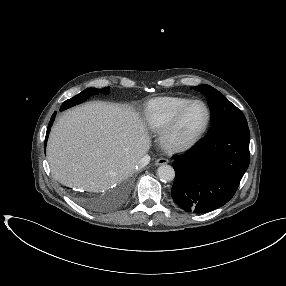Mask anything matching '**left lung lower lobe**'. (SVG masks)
Here are the masks:
<instances>
[{
	"instance_id": "obj_1",
	"label": "left lung lower lobe",
	"mask_w": 286,
	"mask_h": 286,
	"mask_svg": "<svg viewBox=\"0 0 286 286\" xmlns=\"http://www.w3.org/2000/svg\"><path fill=\"white\" fill-rule=\"evenodd\" d=\"M249 141L248 125L220 126L187 153L174 156V201L194 213L226 204L249 166Z\"/></svg>"
}]
</instances>
